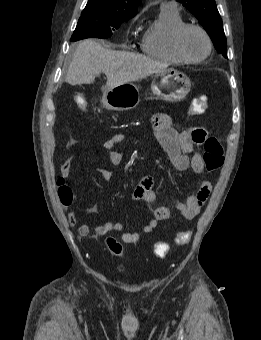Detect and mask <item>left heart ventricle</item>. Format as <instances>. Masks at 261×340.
I'll list each match as a JSON object with an SVG mask.
<instances>
[{
  "label": "left heart ventricle",
  "instance_id": "obj_1",
  "mask_svg": "<svg viewBox=\"0 0 261 340\" xmlns=\"http://www.w3.org/2000/svg\"><path fill=\"white\" fill-rule=\"evenodd\" d=\"M181 47L189 58L199 59L203 57L207 51V42L200 31L189 29L182 37Z\"/></svg>",
  "mask_w": 261,
  "mask_h": 340
}]
</instances>
